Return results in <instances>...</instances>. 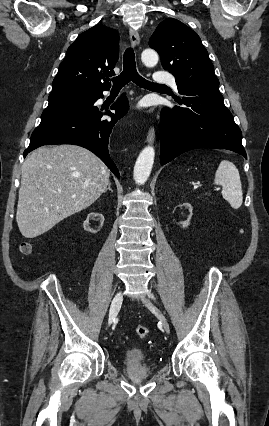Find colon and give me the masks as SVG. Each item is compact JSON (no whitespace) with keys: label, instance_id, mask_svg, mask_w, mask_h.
<instances>
[{"label":"colon","instance_id":"colon-1","mask_svg":"<svg viewBox=\"0 0 269 426\" xmlns=\"http://www.w3.org/2000/svg\"><path fill=\"white\" fill-rule=\"evenodd\" d=\"M20 250L22 253L24 254H28L31 251V245L28 242H24L20 245ZM135 332L136 335L141 338L144 339L149 335V328L145 325L139 324L136 326L135 328Z\"/></svg>","mask_w":269,"mask_h":426}]
</instances>
